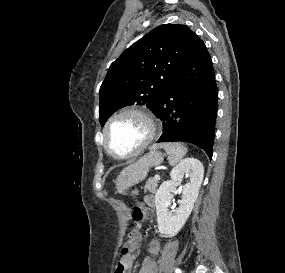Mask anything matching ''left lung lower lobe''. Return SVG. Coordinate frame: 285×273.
<instances>
[{
    "label": "left lung lower lobe",
    "instance_id": "obj_1",
    "mask_svg": "<svg viewBox=\"0 0 285 273\" xmlns=\"http://www.w3.org/2000/svg\"><path fill=\"white\" fill-rule=\"evenodd\" d=\"M218 91L211 57L193 33L184 61L154 113L163 121L158 142L184 141L212 157Z\"/></svg>",
    "mask_w": 285,
    "mask_h": 273
}]
</instances>
